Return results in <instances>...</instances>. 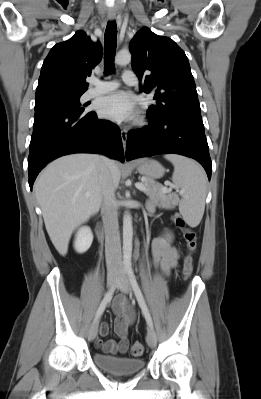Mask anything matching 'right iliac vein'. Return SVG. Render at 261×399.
<instances>
[{
  "label": "right iliac vein",
  "mask_w": 261,
  "mask_h": 399,
  "mask_svg": "<svg viewBox=\"0 0 261 399\" xmlns=\"http://www.w3.org/2000/svg\"><path fill=\"white\" fill-rule=\"evenodd\" d=\"M118 281V276L116 274H109L107 277V285L109 288H113ZM98 332V322L95 321L89 328L88 338L90 341H93Z\"/></svg>",
  "instance_id": "63e3f726"
}]
</instances>
